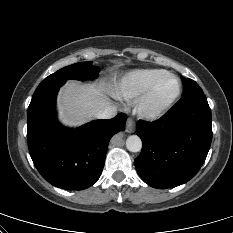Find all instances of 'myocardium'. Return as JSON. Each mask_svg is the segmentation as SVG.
I'll list each match as a JSON object with an SVG mask.
<instances>
[{"label":"myocardium","mask_w":233,"mask_h":233,"mask_svg":"<svg viewBox=\"0 0 233 233\" xmlns=\"http://www.w3.org/2000/svg\"><path fill=\"white\" fill-rule=\"evenodd\" d=\"M170 77L174 79L176 83V90L175 92L164 102L161 104L155 105L153 104V97L155 91L160 84V82L166 78ZM182 92V85L181 81L173 73L164 72L160 76H158L151 85L139 96L137 103H136V110L137 113L144 119H156L165 114L178 100Z\"/></svg>","instance_id":"f54148a6"}]
</instances>
